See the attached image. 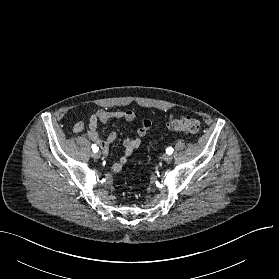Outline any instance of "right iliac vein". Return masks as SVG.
I'll return each instance as SVG.
<instances>
[{"mask_svg": "<svg viewBox=\"0 0 279 279\" xmlns=\"http://www.w3.org/2000/svg\"><path fill=\"white\" fill-rule=\"evenodd\" d=\"M92 157L95 158V159H99L101 157V154L99 152H94L92 154Z\"/></svg>", "mask_w": 279, "mask_h": 279, "instance_id": "63e3f726", "label": "right iliac vein"}]
</instances>
